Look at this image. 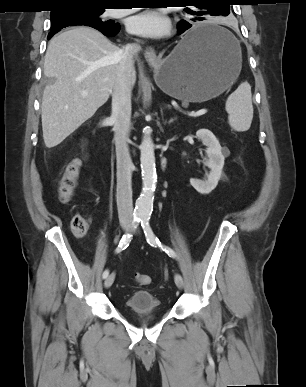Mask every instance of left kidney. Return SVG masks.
<instances>
[{"mask_svg":"<svg viewBox=\"0 0 306 387\" xmlns=\"http://www.w3.org/2000/svg\"><path fill=\"white\" fill-rule=\"evenodd\" d=\"M196 136L207 146L206 165L210 173L206 180L191 178L190 184L201 194H209L218 184L222 174L225 157L222 154L221 146L215 135L208 129H199Z\"/></svg>","mask_w":306,"mask_h":387,"instance_id":"obj_1","label":"left kidney"}]
</instances>
